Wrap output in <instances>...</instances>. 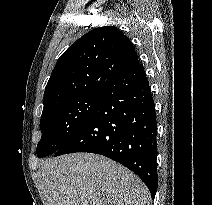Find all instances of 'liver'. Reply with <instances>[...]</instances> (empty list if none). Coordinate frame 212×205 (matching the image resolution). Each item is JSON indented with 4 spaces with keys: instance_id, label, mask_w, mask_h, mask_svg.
Instances as JSON below:
<instances>
[{
    "instance_id": "liver-1",
    "label": "liver",
    "mask_w": 212,
    "mask_h": 205,
    "mask_svg": "<svg viewBox=\"0 0 212 205\" xmlns=\"http://www.w3.org/2000/svg\"><path fill=\"white\" fill-rule=\"evenodd\" d=\"M38 174L45 205H145L149 200L133 172L98 154L49 158Z\"/></svg>"
}]
</instances>
